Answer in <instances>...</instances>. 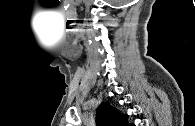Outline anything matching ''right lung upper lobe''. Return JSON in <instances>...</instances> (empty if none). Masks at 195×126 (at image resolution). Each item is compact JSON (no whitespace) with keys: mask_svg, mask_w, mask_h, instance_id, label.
<instances>
[{"mask_svg":"<svg viewBox=\"0 0 195 126\" xmlns=\"http://www.w3.org/2000/svg\"><path fill=\"white\" fill-rule=\"evenodd\" d=\"M127 118L128 115L120 113L107 102L100 104L96 111L97 126H132Z\"/></svg>","mask_w":195,"mask_h":126,"instance_id":"obj_1","label":"right lung upper lobe"}]
</instances>
